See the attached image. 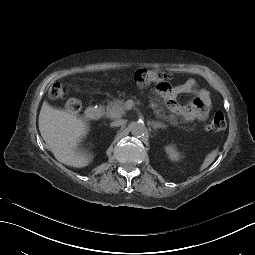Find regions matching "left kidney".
Segmentation results:
<instances>
[{"label":"left kidney","instance_id":"obj_1","mask_svg":"<svg viewBox=\"0 0 255 255\" xmlns=\"http://www.w3.org/2000/svg\"><path fill=\"white\" fill-rule=\"evenodd\" d=\"M165 150L171 161L179 160L180 154L178 153V151L175 149L173 145L166 146Z\"/></svg>","mask_w":255,"mask_h":255}]
</instances>
